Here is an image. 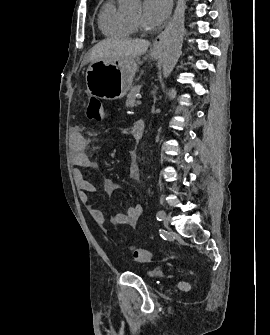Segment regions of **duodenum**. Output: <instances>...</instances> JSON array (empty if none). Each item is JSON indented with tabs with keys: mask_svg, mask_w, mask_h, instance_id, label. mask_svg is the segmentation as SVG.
Masks as SVG:
<instances>
[{
	"mask_svg": "<svg viewBox=\"0 0 270 335\" xmlns=\"http://www.w3.org/2000/svg\"><path fill=\"white\" fill-rule=\"evenodd\" d=\"M145 131V123L142 120L137 121L132 129V133L135 139L139 140L143 137Z\"/></svg>",
	"mask_w": 270,
	"mask_h": 335,
	"instance_id": "1",
	"label": "duodenum"
}]
</instances>
